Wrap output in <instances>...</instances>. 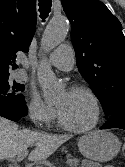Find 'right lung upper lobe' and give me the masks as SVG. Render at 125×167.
Instances as JSON below:
<instances>
[{"instance_id":"1","label":"right lung upper lobe","mask_w":125,"mask_h":167,"mask_svg":"<svg viewBox=\"0 0 125 167\" xmlns=\"http://www.w3.org/2000/svg\"><path fill=\"white\" fill-rule=\"evenodd\" d=\"M35 28V0H0V75L17 68L16 53L28 52Z\"/></svg>"}]
</instances>
